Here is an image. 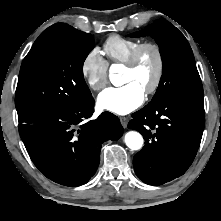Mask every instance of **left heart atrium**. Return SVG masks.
I'll return each instance as SVG.
<instances>
[{
  "label": "left heart atrium",
  "mask_w": 221,
  "mask_h": 221,
  "mask_svg": "<svg viewBox=\"0 0 221 221\" xmlns=\"http://www.w3.org/2000/svg\"><path fill=\"white\" fill-rule=\"evenodd\" d=\"M144 101V90L135 82L120 87H109L97 99L98 106L118 115H125L138 108Z\"/></svg>",
  "instance_id": "obj_1"
}]
</instances>
